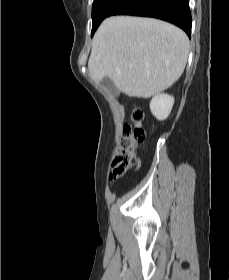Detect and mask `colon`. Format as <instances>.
I'll use <instances>...</instances> for the list:
<instances>
[{"instance_id":"obj_1","label":"colon","mask_w":229,"mask_h":280,"mask_svg":"<svg viewBox=\"0 0 229 280\" xmlns=\"http://www.w3.org/2000/svg\"><path fill=\"white\" fill-rule=\"evenodd\" d=\"M143 118V111L136 108L132 113V121L124 126L123 136L111 165V175L115 178L121 177L136 162L135 149L146 138V132L142 126Z\"/></svg>"}]
</instances>
